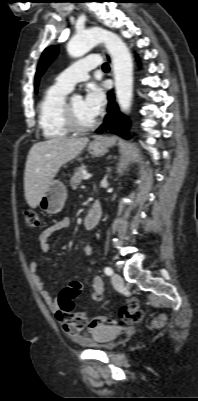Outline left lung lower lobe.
Wrapping results in <instances>:
<instances>
[{"instance_id": "obj_1", "label": "left lung lower lobe", "mask_w": 198, "mask_h": 401, "mask_svg": "<svg viewBox=\"0 0 198 401\" xmlns=\"http://www.w3.org/2000/svg\"><path fill=\"white\" fill-rule=\"evenodd\" d=\"M109 104H108V114L105 117V122L97 130V132L106 131L110 128L111 132L117 134L125 139H130L131 136L128 133L129 123L124 115L118 111V107L114 100V94H108ZM115 114V116H112Z\"/></svg>"}]
</instances>
